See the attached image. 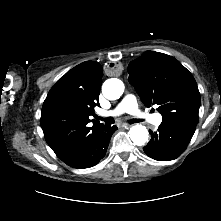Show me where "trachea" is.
<instances>
[{
    "label": "trachea",
    "mask_w": 221,
    "mask_h": 221,
    "mask_svg": "<svg viewBox=\"0 0 221 221\" xmlns=\"http://www.w3.org/2000/svg\"><path fill=\"white\" fill-rule=\"evenodd\" d=\"M101 120H104L106 124H113L114 123V118L113 117H107V118H99ZM142 120L140 119H133L130 120V123H136V122H141Z\"/></svg>",
    "instance_id": "trachea-1"
}]
</instances>
